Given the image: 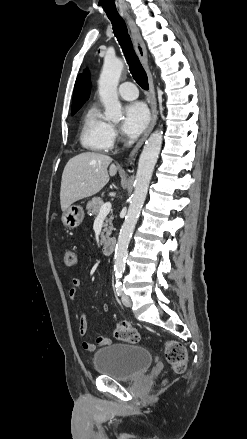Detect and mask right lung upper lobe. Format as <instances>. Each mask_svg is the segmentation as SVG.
I'll return each instance as SVG.
<instances>
[{
    "mask_svg": "<svg viewBox=\"0 0 247 439\" xmlns=\"http://www.w3.org/2000/svg\"><path fill=\"white\" fill-rule=\"evenodd\" d=\"M90 94V81L89 73L87 70L83 74L77 76L75 82L72 110L80 109L84 102L89 98Z\"/></svg>",
    "mask_w": 247,
    "mask_h": 439,
    "instance_id": "obj_1",
    "label": "right lung upper lobe"
}]
</instances>
